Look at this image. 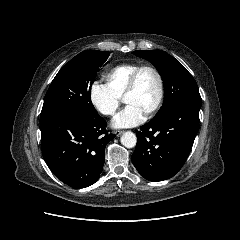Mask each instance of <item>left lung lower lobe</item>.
Wrapping results in <instances>:
<instances>
[{
    "label": "left lung lower lobe",
    "instance_id": "left-lung-lower-lobe-1",
    "mask_svg": "<svg viewBox=\"0 0 240 240\" xmlns=\"http://www.w3.org/2000/svg\"><path fill=\"white\" fill-rule=\"evenodd\" d=\"M200 104L176 103L140 127L132 162L141 176L163 181L182 168L198 131Z\"/></svg>",
    "mask_w": 240,
    "mask_h": 240
}]
</instances>
